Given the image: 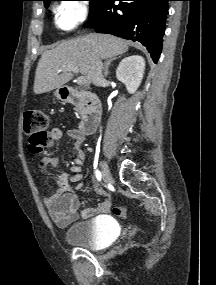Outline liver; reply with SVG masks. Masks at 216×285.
Instances as JSON below:
<instances>
[{"label": "liver", "mask_w": 216, "mask_h": 285, "mask_svg": "<svg viewBox=\"0 0 216 285\" xmlns=\"http://www.w3.org/2000/svg\"><path fill=\"white\" fill-rule=\"evenodd\" d=\"M129 44L128 41L112 35L90 33L46 50L37 65L34 93L43 94L60 89L73 78V74L71 71H58L69 66H77L86 81L91 83L93 59L97 57L101 60L121 55L128 50Z\"/></svg>", "instance_id": "liver-1"}]
</instances>
